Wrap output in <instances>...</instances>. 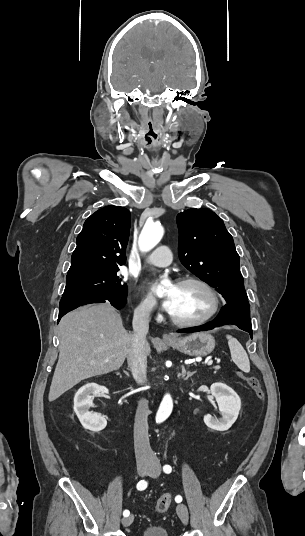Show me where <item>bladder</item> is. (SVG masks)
I'll use <instances>...</instances> for the list:
<instances>
[{
  "label": "bladder",
  "mask_w": 305,
  "mask_h": 536,
  "mask_svg": "<svg viewBox=\"0 0 305 536\" xmlns=\"http://www.w3.org/2000/svg\"><path fill=\"white\" fill-rule=\"evenodd\" d=\"M136 536H169L167 528L164 526H151L143 530V533Z\"/></svg>",
  "instance_id": "31cf9c89"
}]
</instances>
